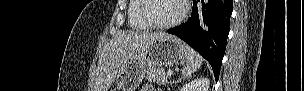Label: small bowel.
<instances>
[{
    "instance_id": "small-bowel-1",
    "label": "small bowel",
    "mask_w": 304,
    "mask_h": 91,
    "mask_svg": "<svg viewBox=\"0 0 304 91\" xmlns=\"http://www.w3.org/2000/svg\"><path fill=\"white\" fill-rule=\"evenodd\" d=\"M142 90L143 91H155V89L152 86H145Z\"/></svg>"
}]
</instances>
